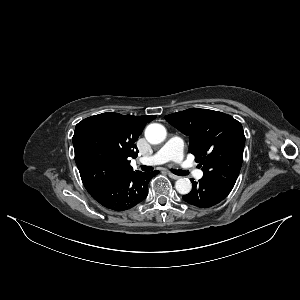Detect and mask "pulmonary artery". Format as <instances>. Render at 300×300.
Masks as SVG:
<instances>
[{
	"label": "pulmonary artery",
	"mask_w": 300,
	"mask_h": 300,
	"mask_svg": "<svg viewBox=\"0 0 300 300\" xmlns=\"http://www.w3.org/2000/svg\"><path fill=\"white\" fill-rule=\"evenodd\" d=\"M183 141L177 137L169 139L164 146L154 155L149 157H143L140 159V163L144 165H153L164 163L169 160H173L177 163L183 161ZM192 174L197 178L201 179L203 172L200 170H193Z\"/></svg>",
	"instance_id": "1"
}]
</instances>
